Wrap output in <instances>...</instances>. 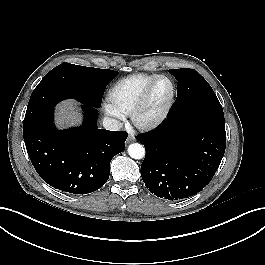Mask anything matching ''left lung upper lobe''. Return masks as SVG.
Here are the masks:
<instances>
[{
  "instance_id": "obj_1",
  "label": "left lung upper lobe",
  "mask_w": 265,
  "mask_h": 265,
  "mask_svg": "<svg viewBox=\"0 0 265 265\" xmlns=\"http://www.w3.org/2000/svg\"><path fill=\"white\" fill-rule=\"evenodd\" d=\"M177 79V99L169 117L199 116L224 123L222 106L208 82L193 69H172Z\"/></svg>"
}]
</instances>
